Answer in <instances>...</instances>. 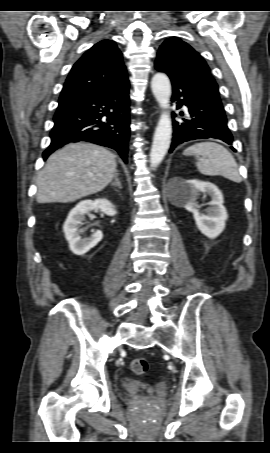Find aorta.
<instances>
[{"label": "aorta", "mask_w": 270, "mask_h": 453, "mask_svg": "<svg viewBox=\"0 0 270 453\" xmlns=\"http://www.w3.org/2000/svg\"><path fill=\"white\" fill-rule=\"evenodd\" d=\"M151 89L156 101L163 109L155 129L150 152L151 166L157 167L164 159L171 142L172 123L167 111L171 95L169 78L164 73H156L151 80Z\"/></svg>", "instance_id": "aorta-1"}]
</instances>
